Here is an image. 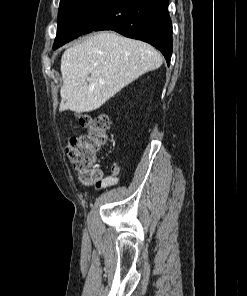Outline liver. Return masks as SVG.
I'll list each match as a JSON object with an SVG mask.
<instances>
[{"label": "liver", "mask_w": 247, "mask_h": 296, "mask_svg": "<svg viewBox=\"0 0 247 296\" xmlns=\"http://www.w3.org/2000/svg\"><path fill=\"white\" fill-rule=\"evenodd\" d=\"M162 63L161 54L148 43L110 31L91 35L62 55L59 111L96 110L123 87Z\"/></svg>", "instance_id": "6515ba94"}]
</instances>
